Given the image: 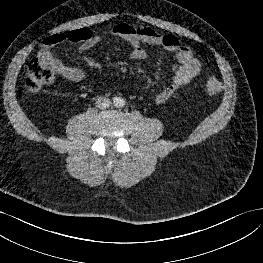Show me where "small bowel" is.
Instances as JSON below:
<instances>
[{"label":"small bowel","instance_id":"obj_1","mask_svg":"<svg viewBox=\"0 0 263 263\" xmlns=\"http://www.w3.org/2000/svg\"><path fill=\"white\" fill-rule=\"evenodd\" d=\"M109 35L118 36L125 40L131 47L130 57L134 60L145 58L144 44L158 45L174 54L176 58L174 74L168 80L167 86L155 96V101L158 104L167 102L179 88L189 84L201 70V63L192 49L189 46L182 45L177 37L163 35L149 27L135 26L125 22L104 28H80L50 35L43 40L38 58L61 77L73 82H80L84 80L85 73L81 69L69 67L62 63L54 57L52 50L64 43H78L80 49L86 51Z\"/></svg>","mask_w":263,"mask_h":263}]
</instances>
